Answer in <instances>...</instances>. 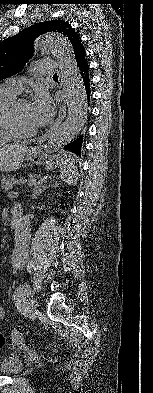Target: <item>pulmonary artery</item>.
<instances>
[{"instance_id": "e3ab8cb5", "label": "pulmonary artery", "mask_w": 153, "mask_h": 393, "mask_svg": "<svg viewBox=\"0 0 153 393\" xmlns=\"http://www.w3.org/2000/svg\"><path fill=\"white\" fill-rule=\"evenodd\" d=\"M35 69L41 73H51L54 69V63L51 60H41L36 66ZM26 81V78H12L5 82L3 87L11 90L12 92L18 94L23 89V84Z\"/></svg>"}]
</instances>
